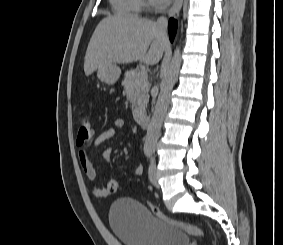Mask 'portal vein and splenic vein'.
I'll return each instance as SVG.
<instances>
[{"label":"portal vein and splenic vein","mask_w":283,"mask_h":245,"mask_svg":"<svg viewBox=\"0 0 283 245\" xmlns=\"http://www.w3.org/2000/svg\"><path fill=\"white\" fill-rule=\"evenodd\" d=\"M139 77L141 79L147 78V72L145 70L140 71Z\"/></svg>","instance_id":"1"}]
</instances>
